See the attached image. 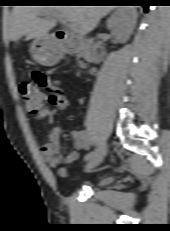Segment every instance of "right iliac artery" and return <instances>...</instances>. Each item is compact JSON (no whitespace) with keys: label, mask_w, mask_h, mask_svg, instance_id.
<instances>
[{"label":"right iliac artery","mask_w":170,"mask_h":231,"mask_svg":"<svg viewBox=\"0 0 170 231\" xmlns=\"http://www.w3.org/2000/svg\"><path fill=\"white\" fill-rule=\"evenodd\" d=\"M94 154H95V151L88 153V154L84 157V160L88 161Z\"/></svg>","instance_id":"obj_1"}]
</instances>
